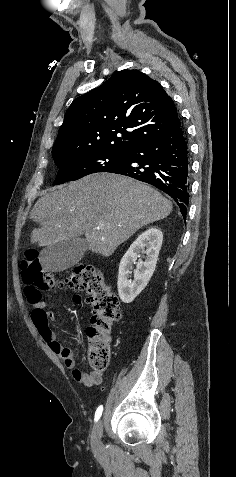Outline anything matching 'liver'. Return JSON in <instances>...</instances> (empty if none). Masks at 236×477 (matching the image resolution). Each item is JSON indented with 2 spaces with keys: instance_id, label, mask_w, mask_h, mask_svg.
I'll list each match as a JSON object with an SVG mask.
<instances>
[{
  "instance_id": "1",
  "label": "liver",
  "mask_w": 236,
  "mask_h": 477,
  "mask_svg": "<svg viewBox=\"0 0 236 477\" xmlns=\"http://www.w3.org/2000/svg\"><path fill=\"white\" fill-rule=\"evenodd\" d=\"M172 207L157 190L132 178L92 174L55 187L36 202L31 219L40 228L32 231L31 243L50 246L84 234L89 250L108 257L141 227L166 218Z\"/></svg>"
}]
</instances>
